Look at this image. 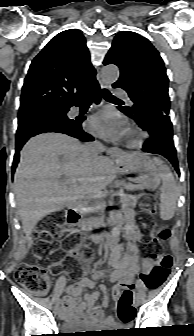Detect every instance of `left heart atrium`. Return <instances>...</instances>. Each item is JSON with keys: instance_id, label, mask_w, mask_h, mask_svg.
Here are the masks:
<instances>
[{"instance_id": "obj_1", "label": "left heart atrium", "mask_w": 194, "mask_h": 336, "mask_svg": "<svg viewBox=\"0 0 194 336\" xmlns=\"http://www.w3.org/2000/svg\"><path fill=\"white\" fill-rule=\"evenodd\" d=\"M89 130L98 137L116 141L126 134V121L117 111L106 108L90 119Z\"/></svg>"}]
</instances>
